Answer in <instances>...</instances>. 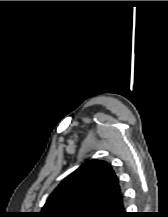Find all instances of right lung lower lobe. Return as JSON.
Wrapping results in <instances>:
<instances>
[{
    "mask_svg": "<svg viewBox=\"0 0 168 217\" xmlns=\"http://www.w3.org/2000/svg\"><path fill=\"white\" fill-rule=\"evenodd\" d=\"M109 217H132L129 213L124 211V207L122 206L119 210L109 215Z\"/></svg>",
    "mask_w": 168,
    "mask_h": 217,
    "instance_id": "1",
    "label": "right lung lower lobe"
}]
</instances>
